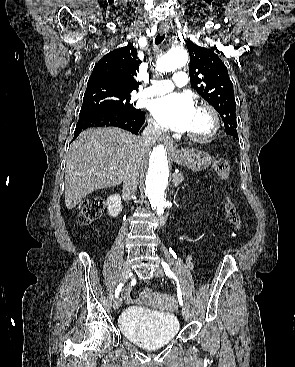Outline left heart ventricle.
Segmentation results:
<instances>
[{
    "label": "left heart ventricle",
    "instance_id": "obj_1",
    "mask_svg": "<svg viewBox=\"0 0 295 367\" xmlns=\"http://www.w3.org/2000/svg\"><path fill=\"white\" fill-rule=\"evenodd\" d=\"M211 127V119L209 115L203 111L196 110L192 121L187 129V133L201 135L209 131Z\"/></svg>",
    "mask_w": 295,
    "mask_h": 367
}]
</instances>
